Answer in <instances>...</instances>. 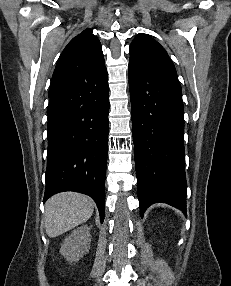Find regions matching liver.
I'll use <instances>...</instances> for the list:
<instances>
[{
	"instance_id": "obj_1",
	"label": "liver",
	"mask_w": 231,
	"mask_h": 286,
	"mask_svg": "<svg viewBox=\"0 0 231 286\" xmlns=\"http://www.w3.org/2000/svg\"><path fill=\"white\" fill-rule=\"evenodd\" d=\"M94 201L83 194L63 192L45 204L44 223L49 237H57L87 221L93 214Z\"/></svg>"
}]
</instances>
